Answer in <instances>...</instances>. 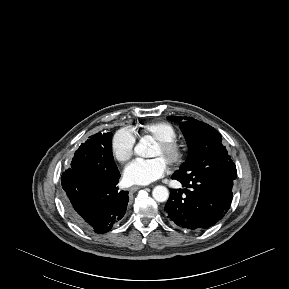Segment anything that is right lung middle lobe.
Instances as JSON below:
<instances>
[{"mask_svg": "<svg viewBox=\"0 0 289 289\" xmlns=\"http://www.w3.org/2000/svg\"><path fill=\"white\" fill-rule=\"evenodd\" d=\"M112 133H97L87 142L81 144L72 159L71 168L77 170L82 166H90L96 172H107L115 169L111 151Z\"/></svg>", "mask_w": 289, "mask_h": 289, "instance_id": "1", "label": "right lung middle lobe"}]
</instances>
